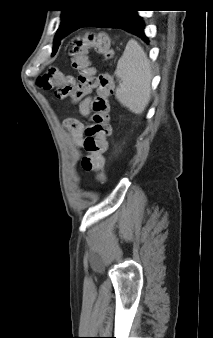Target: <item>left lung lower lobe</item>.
Listing matches in <instances>:
<instances>
[{
  "label": "left lung lower lobe",
  "instance_id": "obj_1",
  "mask_svg": "<svg viewBox=\"0 0 213 338\" xmlns=\"http://www.w3.org/2000/svg\"><path fill=\"white\" fill-rule=\"evenodd\" d=\"M118 2V1H117ZM120 2V1H119ZM116 8H90L83 13L70 27L69 33L83 27L120 28L130 32L148 43L144 32V23L136 10L129 9L123 4H116ZM68 33V34H69Z\"/></svg>",
  "mask_w": 213,
  "mask_h": 338
}]
</instances>
